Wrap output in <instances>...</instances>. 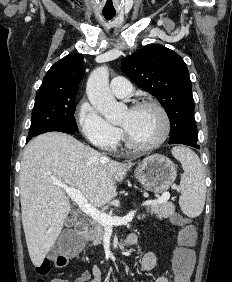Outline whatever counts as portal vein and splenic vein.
<instances>
[{"mask_svg": "<svg viewBox=\"0 0 232 282\" xmlns=\"http://www.w3.org/2000/svg\"><path fill=\"white\" fill-rule=\"evenodd\" d=\"M57 185L66 192V194L79 206V208L86 215H88L94 221H97L104 227L125 225L128 222H130L136 214V210H133L124 217L111 216L107 213L99 211L94 206L89 204L87 199L83 196V194L78 189L69 187L64 184H57ZM169 198H170V193L165 192L158 199L147 200L143 202L142 206L149 207V206H154V205H160V204L167 202Z\"/></svg>", "mask_w": 232, "mask_h": 282, "instance_id": "18ae733b", "label": "portal vein and splenic vein"}]
</instances>
